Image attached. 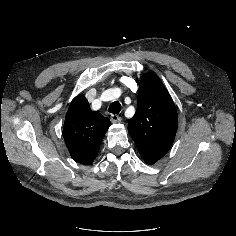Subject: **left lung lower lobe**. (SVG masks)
Instances as JSON below:
<instances>
[{
    "mask_svg": "<svg viewBox=\"0 0 236 236\" xmlns=\"http://www.w3.org/2000/svg\"><path fill=\"white\" fill-rule=\"evenodd\" d=\"M147 164H149V165H152V164H154L155 162H153V161H149V160H144Z\"/></svg>",
    "mask_w": 236,
    "mask_h": 236,
    "instance_id": "obj_1",
    "label": "left lung lower lobe"
}]
</instances>
